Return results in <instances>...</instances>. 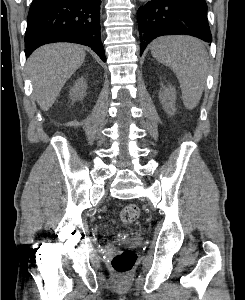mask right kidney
I'll list each match as a JSON object with an SVG mask.
<instances>
[{"instance_id":"ca27d5eb","label":"right kidney","mask_w":245,"mask_h":300,"mask_svg":"<svg viewBox=\"0 0 245 300\" xmlns=\"http://www.w3.org/2000/svg\"><path fill=\"white\" fill-rule=\"evenodd\" d=\"M86 82L84 80V78H80L75 85L73 86V88L70 90V98L73 101H76L78 99H82L85 95L86 92Z\"/></svg>"}]
</instances>
